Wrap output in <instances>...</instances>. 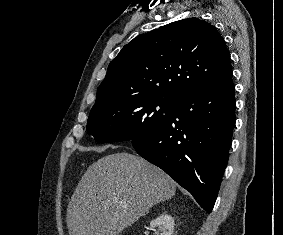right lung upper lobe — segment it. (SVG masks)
Instances as JSON below:
<instances>
[{
	"label": "right lung upper lobe",
	"instance_id": "1",
	"mask_svg": "<svg viewBox=\"0 0 283 235\" xmlns=\"http://www.w3.org/2000/svg\"><path fill=\"white\" fill-rule=\"evenodd\" d=\"M230 75V54L217 29L187 18L125 45L110 62L94 106L135 97L175 99Z\"/></svg>",
	"mask_w": 283,
	"mask_h": 235
}]
</instances>
